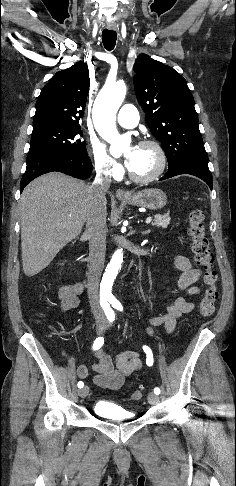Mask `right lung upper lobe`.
<instances>
[{
    "label": "right lung upper lobe",
    "mask_w": 236,
    "mask_h": 486,
    "mask_svg": "<svg viewBox=\"0 0 236 486\" xmlns=\"http://www.w3.org/2000/svg\"><path fill=\"white\" fill-rule=\"evenodd\" d=\"M89 85L88 67L84 62L57 72L37 99L33 127L47 124L80 126Z\"/></svg>",
    "instance_id": "cb5924a9"
}]
</instances>
